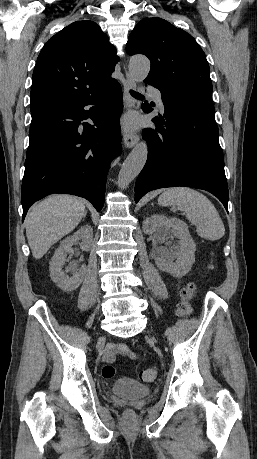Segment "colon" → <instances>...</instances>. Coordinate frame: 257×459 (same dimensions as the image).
I'll return each mask as SVG.
<instances>
[{
  "label": "colon",
  "mask_w": 257,
  "mask_h": 459,
  "mask_svg": "<svg viewBox=\"0 0 257 459\" xmlns=\"http://www.w3.org/2000/svg\"><path fill=\"white\" fill-rule=\"evenodd\" d=\"M196 288L193 284L187 285L185 288L182 289L180 296V303L178 305V314L181 316H187L191 313V305L190 302L195 296ZM158 371L155 367H148L144 369L141 374L140 378L145 382H152L156 379ZM102 376L105 379H112L115 376V368L111 364H106L102 368Z\"/></svg>",
  "instance_id": "1"
}]
</instances>
